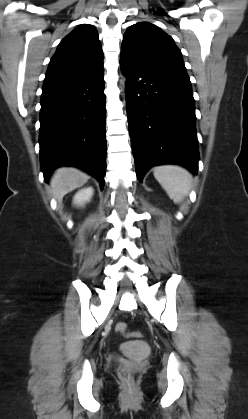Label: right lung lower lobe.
<instances>
[{
	"label": "right lung lower lobe",
	"instance_id": "98d812e1",
	"mask_svg": "<svg viewBox=\"0 0 248 419\" xmlns=\"http://www.w3.org/2000/svg\"><path fill=\"white\" fill-rule=\"evenodd\" d=\"M103 67L87 76L44 84L40 111V161L44 179L70 165L104 186L106 108Z\"/></svg>",
	"mask_w": 248,
	"mask_h": 419
}]
</instances>
